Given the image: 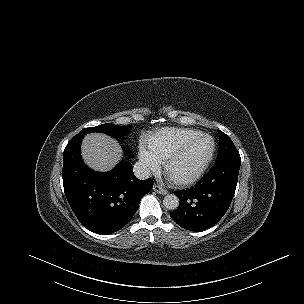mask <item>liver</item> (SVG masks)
<instances>
[{
    "mask_svg": "<svg viewBox=\"0 0 304 304\" xmlns=\"http://www.w3.org/2000/svg\"><path fill=\"white\" fill-rule=\"evenodd\" d=\"M81 152L87 166L96 171H109L122 159L118 142L100 133L85 136Z\"/></svg>",
    "mask_w": 304,
    "mask_h": 304,
    "instance_id": "1",
    "label": "liver"
}]
</instances>
